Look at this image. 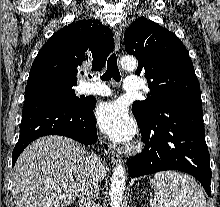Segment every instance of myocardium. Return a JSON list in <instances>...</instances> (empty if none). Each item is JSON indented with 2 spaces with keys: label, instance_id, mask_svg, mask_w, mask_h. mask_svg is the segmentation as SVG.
<instances>
[{
  "label": "myocardium",
  "instance_id": "1",
  "mask_svg": "<svg viewBox=\"0 0 220 207\" xmlns=\"http://www.w3.org/2000/svg\"><path fill=\"white\" fill-rule=\"evenodd\" d=\"M143 148V145L140 141H137L135 143H133L132 145L128 146L126 148V152L127 153H130V154H135V153H138L142 150Z\"/></svg>",
  "mask_w": 220,
  "mask_h": 207
}]
</instances>
